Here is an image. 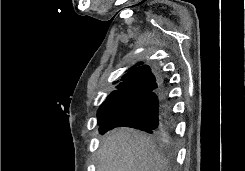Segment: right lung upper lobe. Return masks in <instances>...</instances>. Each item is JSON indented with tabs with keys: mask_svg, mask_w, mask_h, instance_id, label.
<instances>
[{
	"mask_svg": "<svg viewBox=\"0 0 245 171\" xmlns=\"http://www.w3.org/2000/svg\"><path fill=\"white\" fill-rule=\"evenodd\" d=\"M114 84H116V90L106 98L104 103L118 104L122 100L156 91L161 87L162 80L152 73L148 65L140 62L128 69L121 80Z\"/></svg>",
	"mask_w": 245,
	"mask_h": 171,
	"instance_id": "obj_1",
	"label": "right lung upper lobe"
}]
</instances>
